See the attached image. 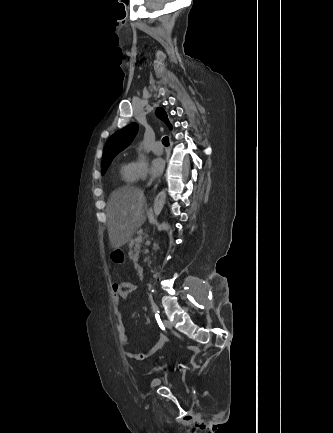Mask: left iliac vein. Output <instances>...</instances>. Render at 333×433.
Masks as SVG:
<instances>
[{
    "label": "left iliac vein",
    "mask_w": 333,
    "mask_h": 433,
    "mask_svg": "<svg viewBox=\"0 0 333 433\" xmlns=\"http://www.w3.org/2000/svg\"><path fill=\"white\" fill-rule=\"evenodd\" d=\"M166 326H167L168 328H172V324H171L170 322H166Z\"/></svg>",
    "instance_id": "obj_1"
}]
</instances>
